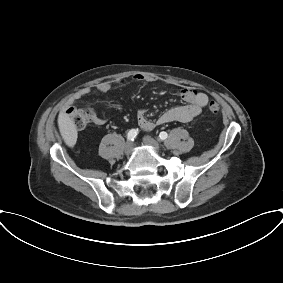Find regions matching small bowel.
<instances>
[{
	"instance_id": "obj_1",
	"label": "small bowel",
	"mask_w": 283,
	"mask_h": 283,
	"mask_svg": "<svg viewBox=\"0 0 283 283\" xmlns=\"http://www.w3.org/2000/svg\"><path fill=\"white\" fill-rule=\"evenodd\" d=\"M133 80L139 83H151L156 80L155 77L145 74H136L133 76ZM112 88L109 82H102L97 85L98 92L105 94ZM91 90L89 88L81 89L77 98L88 96ZM180 97L186 102L185 105L176 106L164 111L156 120H150L146 116L145 109H139L137 112V121L141 129L150 131L157 125L167 124L171 122H189L197 117L202 109L208 103V96L203 92H199L192 89H184L180 92ZM92 120L96 125H104L107 120L99 116L95 111H91Z\"/></svg>"
}]
</instances>
